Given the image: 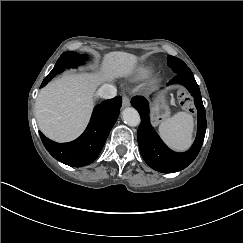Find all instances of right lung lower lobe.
Here are the masks:
<instances>
[{
    "instance_id": "obj_1",
    "label": "right lung lower lobe",
    "mask_w": 243,
    "mask_h": 243,
    "mask_svg": "<svg viewBox=\"0 0 243 243\" xmlns=\"http://www.w3.org/2000/svg\"><path fill=\"white\" fill-rule=\"evenodd\" d=\"M121 105L120 96L97 105L84 133L72 142L56 143L40 132L41 140L47 151L58 161L72 167L89 165L100 154L118 118Z\"/></svg>"
}]
</instances>
